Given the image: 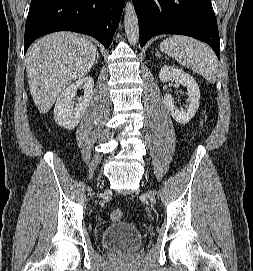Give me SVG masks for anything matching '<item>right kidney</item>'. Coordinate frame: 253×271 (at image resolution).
<instances>
[{
    "instance_id": "obj_1",
    "label": "right kidney",
    "mask_w": 253,
    "mask_h": 271,
    "mask_svg": "<svg viewBox=\"0 0 253 271\" xmlns=\"http://www.w3.org/2000/svg\"><path fill=\"white\" fill-rule=\"evenodd\" d=\"M78 88L84 89V96L74 103ZM92 77L81 78L69 85L56 100L54 107L55 122L68 130L74 129L80 122L93 96Z\"/></svg>"
}]
</instances>
